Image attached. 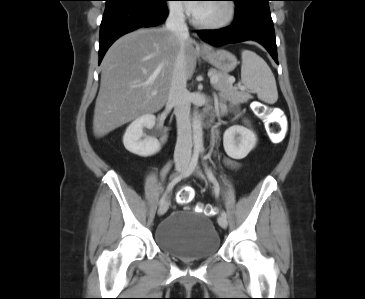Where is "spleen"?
Here are the masks:
<instances>
[{
	"label": "spleen",
	"instance_id": "1",
	"mask_svg": "<svg viewBox=\"0 0 365 299\" xmlns=\"http://www.w3.org/2000/svg\"><path fill=\"white\" fill-rule=\"evenodd\" d=\"M241 81L251 92L266 103L273 104L278 99L275 77L259 55L250 50L241 53Z\"/></svg>",
	"mask_w": 365,
	"mask_h": 299
}]
</instances>
